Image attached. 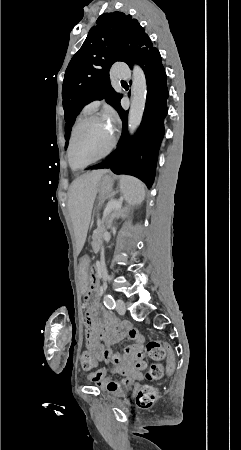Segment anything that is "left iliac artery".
Returning <instances> with one entry per match:
<instances>
[{"label":"left iliac artery","mask_w":241,"mask_h":450,"mask_svg":"<svg viewBox=\"0 0 241 450\" xmlns=\"http://www.w3.org/2000/svg\"><path fill=\"white\" fill-rule=\"evenodd\" d=\"M104 304L108 309H114L116 306L115 300L110 294L104 296Z\"/></svg>","instance_id":"44dca946"}]
</instances>
